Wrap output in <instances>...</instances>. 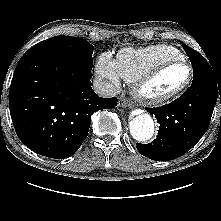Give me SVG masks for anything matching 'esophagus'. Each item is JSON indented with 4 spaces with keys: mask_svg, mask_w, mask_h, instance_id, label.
<instances>
[{
    "mask_svg": "<svg viewBox=\"0 0 221 221\" xmlns=\"http://www.w3.org/2000/svg\"><path fill=\"white\" fill-rule=\"evenodd\" d=\"M119 105H121L122 107L132 108V102L128 99H121Z\"/></svg>",
    "mask_w": 221,
    "mask_h": 221,
    "instance_id": "obj_1",
    "label": "esophagus"
}]
</instances>
